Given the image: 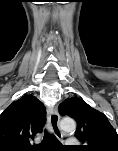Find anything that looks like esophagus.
Returning <instances> with one entry per match:
<instances>
[{"instance_id":"1","label":"esophagus","mask_w":118,"mask_h":151,"mask_svg":"<svg viewBox=\"0 0 118 151\" xmlns=\"http://www.w3.org/2000/svg\"><path fill=\"white\" fill-rule=\"evenodd\" d=\"M59 120H60V117H59L58 110L56 108L49 109L48 110V125L51 131L54 133V135L60 139L63 137V135L59 127Z\"/></svg>"}]
</instances>
